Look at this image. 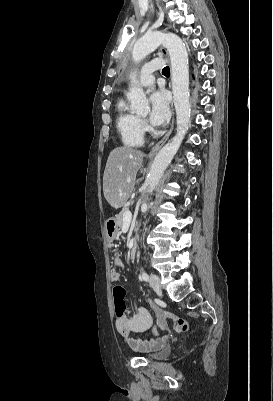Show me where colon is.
Instances as JSON below:
<instances>
[{"label":"colon","instance_id":"obj_1","mask_svg":"<svg viewBox=\"0 0 273 401\" xmlns=\"http://www.w3.org/2000/svg\"><path fill=\"white\" fill-rule=\"evenodd\" d=\"M124 298L125 287L123 285H115L113 287L114 315L121 322L125 320L127 314Z\"/></svg>","mask_w":273,"mask_h":401}]
</instances>
